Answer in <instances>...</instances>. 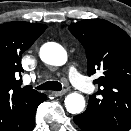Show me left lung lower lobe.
Segmentation results:
<instances>
[{"label":"left lung lower lobe","mask_w":131,"mask_h":131,"mask_svg":"<svg viewBox=\"0 0 131 131\" xmlns=\"http://www.w3.org/2000/svg\"><path fill=\"white\" fill-rule=\"evenodd\" d=\"M73 120L82 131H112L86 111L75 116Z\"/></svg>","instance_id":"obj_1"}]
</instances>
